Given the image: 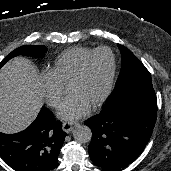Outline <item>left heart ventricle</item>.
Masks as SVG:
<instances>
[{
    "mask_svg": "<svg viewBox=\"0 0 171 171\" xmlns=\"http://www.w3.org/2000/svg\"><path fill=\"white\" fill-rule=\"evenodd\" d=\"M112 61L106 52L95 55L88 63L82 77L68 86L69 94L80 95L91 107L104 93Z\"/></svg>",
    "mask_w": 171,
    "mask_h": 171,
    "instance_id": "b2bd125f",
    "label": "left heart ventricle"
}]
</instances>
